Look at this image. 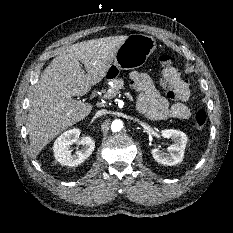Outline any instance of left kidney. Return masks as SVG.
Listing matches in <instances>:
<instances>
[{"label": "left kidney", "instance_id": "1", "mask_svg": "<svg viewBox=\"0 0 233 233\" xmlns=\"http://www.w3.org/2000/svg\"><path fill=\"white\" fill-rule=\"evenodd\" d=\"M163 138H170L174 141L168 147V152H163L158 148L152 149L150 152L157 163L173 166L182 162L184 151L187 144V135L179 130L165 129L161 131Z\"/></svg>", "mask_w": 233, "mask_h": 233}]
</instances>
